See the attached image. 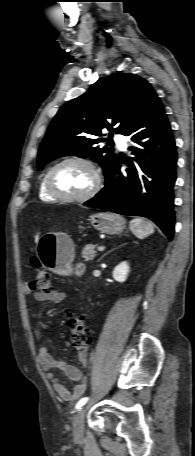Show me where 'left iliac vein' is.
Segmentation results:
<instances>
[{
  "instance_id": "left-iliac-vein-1",
  "label": "left iliac vein",
  "mask_w": 195,
  "mask_h": 456,
  "mask_svg": "<svg viewBox=\"0 0 195 456\" xmlns=\"http://www.w3.org/2000/svg\"><path fill=\"white\" fill-rule=\"evenodd\" d=\"M86 414V408H81L73 419V436L74 439L79 441L83 437L84 433V418Z\"/></svg>"
}]
</instances>
